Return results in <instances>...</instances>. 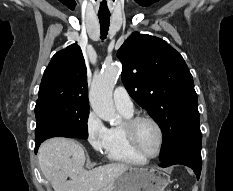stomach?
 Returning <instances> with one entry per match:
<instances>
[{
	"instance_id": "1",
	"label": "stomach",
	"mask_w": 233,
	"mask_h": 191,
	"mask_svg": "<svg viewBox=\"0 0 233 191\" xmlns=\"http://www.w3.org/2000/svg\"><path fill=\"white\" fill-rule=\"evenodd\" d=\"M170 177L158 168L129 167L101 191H165Z\"/></svg>"
}]
</instances>
